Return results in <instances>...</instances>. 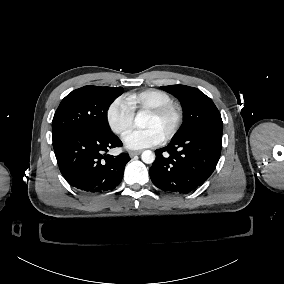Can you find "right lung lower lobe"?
<instances>
[{
    "label": "right lung lower lobe",
    "instance_id": "1",
    "mask_svg": "<svg viewBox=\"0 0 284 284\" xmlns=\"http://www.w3.org/2000/svg\"><path fill=\"white\" fill-rule=\"evenodd\" d=\"M120 146L121 140L112 131L72 132L53 141L62 175L71 186L85 193L111 191L120 184L130 157L127 153L106 155L109 148Z\"/></svg>",
    "mask_w": 284,
    "mask_h": 284
}]
</instances>
